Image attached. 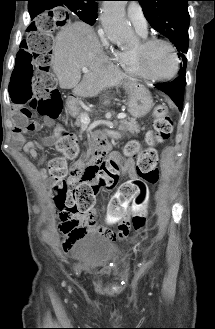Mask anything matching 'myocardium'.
I'll return each instance as SVG.
<instances>
[{"mask_svg":"<svg viewBox=\"0 0 215 329\" xmlns=\"http://www.w3.org/2000/svg\"><path fill=\"white\" fill-rule=\"evenodd\" d=\"M156 44H164V45L168 46L174 56L175 67H174V70L172 71V73L168 76H163V77L154 76V75H151L146 70L145 63H146L148 53H149L150 49ZM135 63H136V67H137L140 75L142 77L147 78L152 81L171 80L177 75L179 68H180V59H179V55H178L177 49L174 46V44L167 39L159 38V37L146 38L140 42V44L135 49Z\"/></svg>","mask_w":215,"mask_h":329,"instance_id":"obj_1","label":"myocardium"}]
</instances>
